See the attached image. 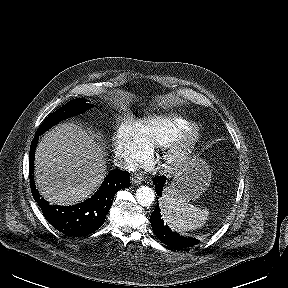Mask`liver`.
Wrapping results in <instances>:
<instances>
[{"instance_id": "liver-1", "label": "liver", "mask_w": 288, "mask_h": 288, "mask_svg": "<svg viewBox=\"0 0 288 288\" xmlns=\"http://www.w3.org/2000/svg\"><path fill=\"white\" fill-rule=\"evenodd\" d=\"M106 175L102 148L73 123L48 131L35 153V183L54 205L77 204L92 195Z\"/></svg>"}]
</instances>
